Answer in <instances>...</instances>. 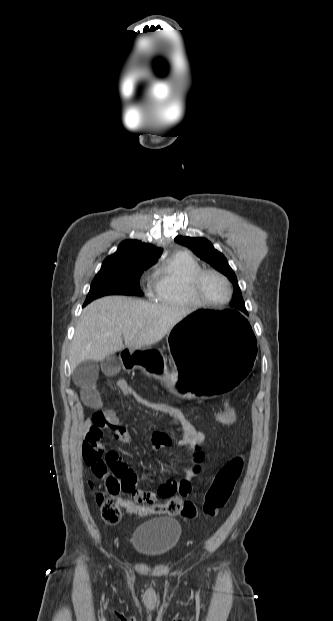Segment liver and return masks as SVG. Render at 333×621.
<instances>
[{
	"mask_svg": "<svg viewBox=\"0 0 333 621\" xmlns=\"http://www.w3.org/2000/svg\"><path fill=\"white\" fill-rule=\"evenodd\" d=\"M188 313L129 297L98 299L82 311L71 343L70 366L102 361L125 347L140 349L155 344Z\"/></svg>",
	"mask_w": 333,
	"mask_h": 621,
	"instance_id": "obj_1",
	"label": "liver"
}]
</instances>
